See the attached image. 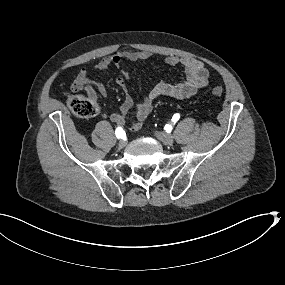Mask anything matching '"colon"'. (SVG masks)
I'll return each instance as SVG.
<instances>
[{"instance_id":"1","label":"colon","mask_w":285,"mask_h":285,"mask_svg":"<svg viewBox=\"0 0 285 285\" xmlns=\"http://www.w3.org/2000/svg\"><path fill=\"white\" fill-rule=\"evenodd\" d=\"M212 95L214 98H220L223 95L222 87H214L212 89ZM67 105L71 112L80 118H93L100 113L99 105L82 95H71L67 100Z\"/></svg>"}]
</instances>
